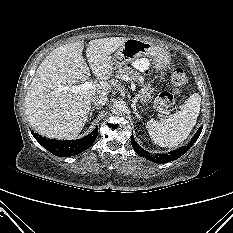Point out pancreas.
Wrapping results in <instances>:
<instances>
[{
  "instance_id": "cf45deb5",
  "label": "pancreas",
  "mask_w": 233,
  "mask_h": 233,
  "mask_svg": "<svg viewBox=\"0 0 233 233\" xmlns=\"http://www.w3.org/2000/svg\"><path fill=\"white\" fill-rule=\"evenodd\" d=\"M123 76H129L135 82L143 81V77L140 75V73L128 66L121 67L117 71V79H121Z\"/></svg>"
}]
</instances>
